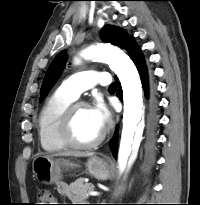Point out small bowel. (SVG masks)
Masks as SVG:
<instances>
[{
  "instance_id": "1",
  "label": "small bowel",
  "mask_w": 200,
  "mask_h": 205,
  "mask_svg": "<svg viewBox=\"0 0 200 205\" xmlns=\"http://www.w3.org/2000/svg\"><path fill=\"white\" fill-rule=\"evenodd\" d=\"M57 190H58L59 194H61L62 196H67V197L71 196L69 187L65 183L58 184Z\"/></svg>"
}]
</instances>
